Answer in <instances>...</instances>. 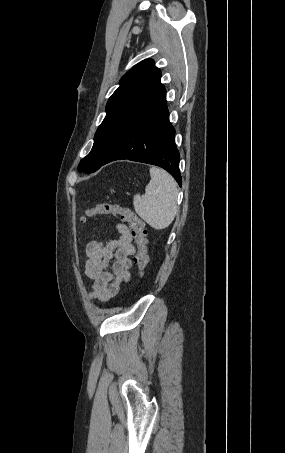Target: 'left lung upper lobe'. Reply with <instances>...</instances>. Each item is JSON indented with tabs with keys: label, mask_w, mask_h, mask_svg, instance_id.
Segmentation results:
<instances>
[{
	"label": "left lung upper lobe",
	"mask_w": 285,
	"mask_h": 453,
	"mask_svg": "<svg viewBox=\"0 0 285 453\" xmlns=\"http://www.w3.org/2000/svg\"><path fill=\"white\" fill-rule=\"evenodd\" d=\"M160 78L161 71L151 59L141 61L122 77L106 105V116L95 133L92 150L78 165L79 172L92 173L103 165L128 126L163 90Z\"/></svg>",
	"instance_id": "5c2ea615"
}]
</instances>
